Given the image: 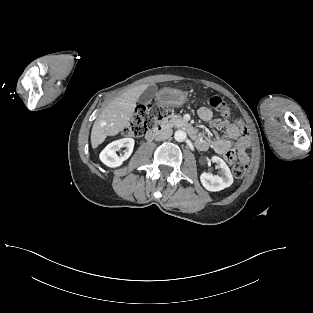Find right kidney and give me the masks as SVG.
<instances>
[{"label": "right kidney", "instance_id": "right-kidney-1", "mask_svg": "<svg viewBox=\"0 0 313 313\" xmlns=\"http://www.w3.org/2000/svg\"><path fill=\"white\" fill-rule=\"evenodd\" d=\"M134 139L123 138L108 144L100 153V160L108 167L115 168L120 166L126 159L130 157L134 148ZM126 147L123 156H118L116 151L120 148Z\"/></svg>", "mask_w": 313, "mask_h": 313}]
</instances>
